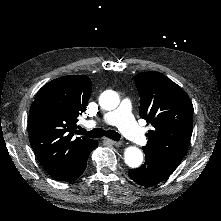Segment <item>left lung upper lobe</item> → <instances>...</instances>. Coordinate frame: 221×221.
I'll use <instances>...</instances> for the list:
<instances>
[{"label":"left lung upper lobe","mask_w":221,"mask_h":221,"mask_svg":"<svg viewBox=\"0 0 221 221\" xmlns=\"http://www.w3.org/2000/svg\"><path fill=\"white\" fill-rule=\"evenodd\" d=\"M140 94V116L151 123L144 153L174 171L190 143L193 105L184 90L161 73L150 71L135 76ZM148 136V135H147Z\"/></svg>","instance_id":"left-lung-upper-lobe-1"}]
</instances>
